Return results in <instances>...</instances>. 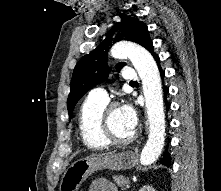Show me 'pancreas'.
<instances>
[{
  "label": "pancreas",
  "mask_w": 221,
  "mask_h": 191,
  "mask_svg": "<svg viewBox=\"0 0 221 191\" xmlns=\"http://www.w3.org/2000/svg\"><path fill=\"white\" fill-rule=\"evenodd\" d=\"M113 180L122 189H125V186L129 184V179L123 175H115Z\"/></svg>",
  "instance_id": "obj_1"
}]
</instances>
